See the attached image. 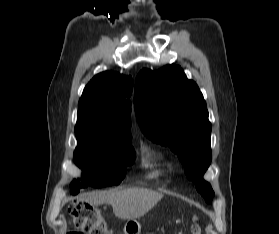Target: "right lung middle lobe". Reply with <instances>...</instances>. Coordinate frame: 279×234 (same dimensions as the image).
Masks as SVG:
<instances>
[{
	"label": "right lung middle lobe",
	"mask_w": 279,
	"mask_h": 234,
	"mask_svg": "<svg viewBox=\"0 0 279 234\" xmlns=\"http://www.w3.org/2000/svg\"><path fill=\"white\" fill-rule=\"evenodd\" d=\"M78 146L74 152L75 164L86 178L79 184L74 180L71 194L83 187H106L119 184L126 175L127 166L135 160L131 139L103 140L88 135L81 127H75Z\"/></svg>",
	"instance_id": "right-lung-middle-lobe-1"
}]
</instances>
